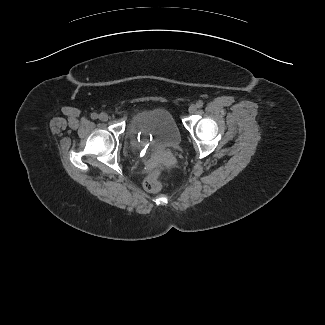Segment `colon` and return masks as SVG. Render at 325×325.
Returning <instances> with one entry per match:
<instances>
[{
  "mask_svg": "<svg viewBox=\"0 0 325 325\" xmlns=\"http://www.w3.org/2000/svg\"><path fill=\"white\" fill-rule=\"evenodd\" d=\"M162 172L163 168H157L145 178L144 187L147 191L158 192L161 190L162 184L160 181V177Z\"/></svg>",
  "mask_w": 325,
  "mask_h": 325,
  "instance_id": "colon-1",
  "label": "colon"
}]
</instances>
